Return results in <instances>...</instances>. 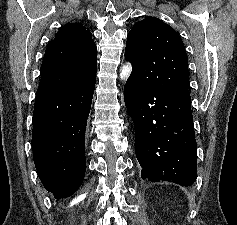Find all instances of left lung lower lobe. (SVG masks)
I'll use <instances>...</instances> for the list:
<instances>
[{
  "label": "left lung lower lobe",
  "instance_id": "0a47b994",
  "mask_svg": "<svg viewBox=\"0 0 237 225\" xmlns=\"http://www.w3.org/2000/svg\"><path fill=\"white\" fill-rule=\"evenodd\" d=\"M124 100L135 127L141 177L191 186L197 158L190 93L142 88L130 76Z\"/></svg>",
  "mask_w": 237,
  "mask_h": 225
}]
</instances>
